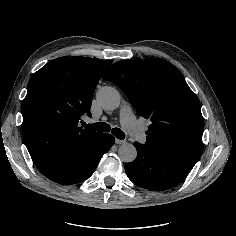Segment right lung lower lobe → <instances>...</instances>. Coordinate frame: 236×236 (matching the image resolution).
<instances>
[{
    "mask_svg": "<svg viewBox=\"0 0 236 236\" xmlns=\"http://www.w3.org/2000/svg\"><path fill=\"white\" fill-rule=\"evenodd\" d=\"M114 137L98 133L88 140L74 146L59 166L47 177L60 184H74L89 178L98 163L114 144Z\"/></svg>",
    "mask_w": 236,
    "mask_h": 236,
    "instance_id": "98d812e1",
    "label": "right lung lower lobe"
}]
</instances>
